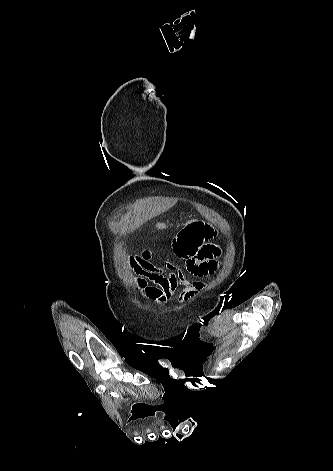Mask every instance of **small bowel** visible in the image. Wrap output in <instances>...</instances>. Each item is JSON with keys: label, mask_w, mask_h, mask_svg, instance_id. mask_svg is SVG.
<instances>
[{"label": "small bowel", "mask_w": 333, "mask_h": 471, "mask_svg": "<svg viewBox=\"0 0 333 471\" xmlns=\"http://www.w3.org/2000/svg\"><path fill=\"white\" fill-rule=\"evenodd\" d=\"M213 235L208 224L200 220L191 221L180 230L173 240V249L185 261V269L170 261L156 264L149 251L131 256L127 265L135 287L146 299L157 304L165 303L179 287H183L180 302L192 299L203 283L190 280L187 274L204 277L217 268L220 251L210 242Z\"/></svg>", "instance_id": "small-bowel-1"}]
</instances>
